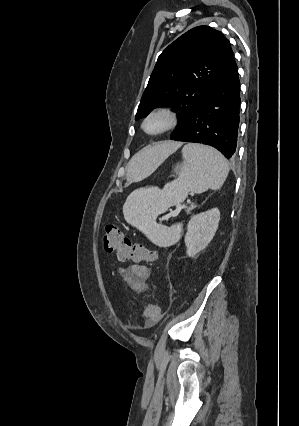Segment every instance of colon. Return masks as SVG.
I'll return each mask as SVG.
<instances>
[{
  "label": "colon",
  "mask_w": 299,
  "mask_h": 426,
  "mask_svg": "<svg viewBox=\"0 0 299 426\" xmlns=\"http://www.w3.org/2000/svg\"><path fill=\"white\" fill-rule=\"evenodd\" d=\"M103 248L108 253H116L122 262H153L158 258L155 251L140 243L132 242L122 230L113 224L105 226L102 239ZM144 326L152 327L160 320L159 308L153 303H147L143 311Z\"/></svg>",
  "instance_id": "5ec220e1"
}]
</instances>
